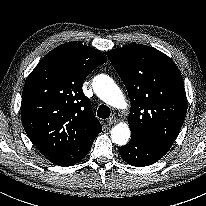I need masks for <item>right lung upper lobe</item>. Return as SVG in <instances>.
<instances>
[{
	"mask_svg": "<svg viewBox=\"0 0 206 206\" xmlns=\"http://www.w3.org/2000/svg\"><path fill=\"white\" fill-rule=\"evenodd\" d=\"M105 62L94 48L66 43L49 52L28 76L22 93V123L45 156L70 151L101 132L82 84Z\"/></svg>",
	"mask_w": 206,
	"mask_h": 206,
	"instance_id": "1",
	"label": "right lung upper lobe"
}]
</instances>
